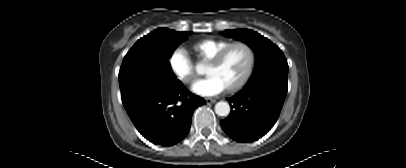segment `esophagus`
Listing matches in <instances>:
<instances>
[{
	"instance_id": "obj_1",
	"label": "esophagus",
	"mask_w": 406,
	"mask_h": 168,
	"mask_svg": "<svg viewBox=\"0 0 406 168\" xmlns=\"http://www.w3.org/2000/svg\"><path fill=\"white\" fill-rule=\"evenodd\" d=\"M205 101H206L207 104H211V103H215V102H216V99H213V98H205Z\"/></svg>"
}]
</instances>
